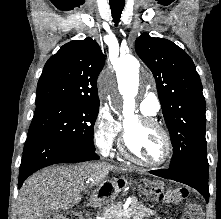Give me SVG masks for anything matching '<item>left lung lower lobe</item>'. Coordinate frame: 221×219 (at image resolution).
I'll return each mask as SVG.
<instances>
[{"instance_id":"obj_1","label":"left lung lower lobe","mask_w":221,"mask_h":219,"mask_svg":"<svg viewBox=\"0 0 221 219\" xmlns=\"http://www.w3.org/2000/svg\"><path fill=\"white\" fill-rule=\"evenodd\" d=\"M208 160L207 155L193 156L176 168L149 171L151 174L175 180L189 185L199 191L208 202Z\"/></svg>"}]
</instances>
